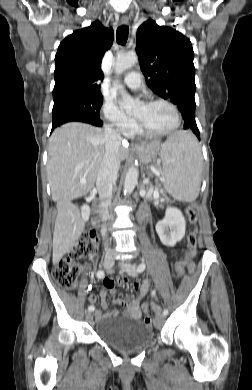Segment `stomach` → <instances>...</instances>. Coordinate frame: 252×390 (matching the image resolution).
Masks as SVG:
<instances>
[{"label": "stomach", "mask_w": 252, "mask_h": 390, "mask_svg": "<svg viewBox=\"0 0 252 390\" xmlns=\"http://www.w3.org/2000/svg\"><path fill=\"white\" fill-rule=\"evenodd\" d=\"M160 145L158 142H154L148 145H142L135 149L138 157L143 163H150L155 159L159 152Z\"/></svg>", "instance_id": "1"}]
</instances>
